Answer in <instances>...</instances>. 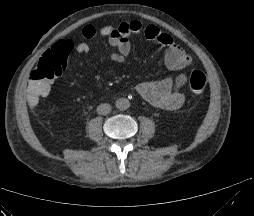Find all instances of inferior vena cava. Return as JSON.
Instances as JSON below:
<instances>
[{
  "label": "inferior vena cava",
  "mask_w": 254,
  "mask_h": 216,
  "mask_svg": "<svg viewBox=\"0 0 254 216\" xmlns=\"http://www.w3.org/2000/svg\"><path fill=\"white\" fill-rule=\"evenodd\" d=\"M111 112V106L107 103H102L97 107V113L100 115H107Z\"/></svg>",
  "instance_id": "inferior-vena-cava-1"
}]
</instances>
